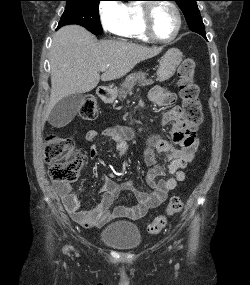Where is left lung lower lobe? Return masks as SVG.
I'll list each match as a JSON object with an SVG mask.
<instances>
[{
    "label": "left lung lower lobe",
    "instance_id": "left-lung-lower-lobe-1",
    "mask_svg": "<svg viewBox=\"0 0 250 285\" xmlns=\"http://www.w3.org/2000/svg\"><path fill=\"white\" fill-rule=\"evenodd\" d=\"M202 36L206 38V35H202Z\"/></svg>",
    "mask_w": 250,
    "mask_h": 285
}]
</instances>
